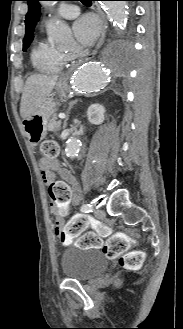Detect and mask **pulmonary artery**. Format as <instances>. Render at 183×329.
<instances>
[{"mask_svg":"<svg viewBox=\"0 0 183 329\" xmlns=\"http://www.w3.org/2000/svg\"><path fill=\"white\" fill-rule=\"evenodd\" d=\"M80 13V8L77 5L69 3H61L57 9V15L64 19H73Z\"/></svg>","mask_w":183,"mask_h":329,"instance_id":"1","label":"pulmonary artery"}]
</instances>
